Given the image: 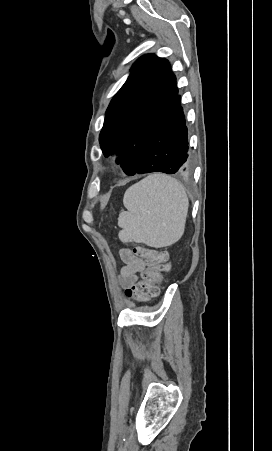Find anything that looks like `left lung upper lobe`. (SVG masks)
<instances>
[{
	"label": "left lung upper lobe",
	"instance_id": "1",
	"mask_svg": "<svg viewBox=\"0 0 272 451\" xmlns=\"http://www.w3.org/2000/svg\"><path fill=\"white\" fill-rule=\"evenodd\" d=\"M177 93L166 59L147 54L133 64L106 111L99 136L106 157L122 155L117 163L127 175L136 174L158 120Z\"/></svg>",
	"mask_w": 272,
	"mask_h": 451
}]
</instances>
